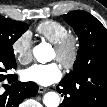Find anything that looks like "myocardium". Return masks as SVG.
<instances>
[{
    "mask_svg": "<svg viewBox=\"0 0 107 107\" xmlns=\"http://www.w3.org/2000/svg\"><path fill=\"white\" fill-rule=\"evenodd\" d=\"M57 59L62 66L71 70L77 63L80 52V42L76 35L68 33L54 46Z\"/></svg>",
    "mask_w": 107,
    "mask_h": 107,
    "instance_id": "myocardium-1",
    "label": "myocardium"
}]
</instances>
